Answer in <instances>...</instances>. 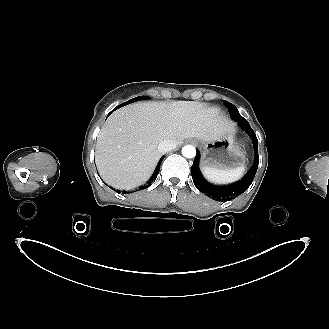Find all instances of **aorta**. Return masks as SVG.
Segmentation results:
<instances>
[{"mask_svg":"<svg viewBox=\"0 0 329 329\" xmlns=\"http://www.w3.org/2000/svg\"><path fill=\"white\" fill-rule=\"evenodd\" d=\"M182 155L186 158H194L196 155V149L192 145H185L182 148Z\"/></svg>","mask_w":329,"mask_h":329,"instance_id":"1","label":"aorta"}]
</instances>
